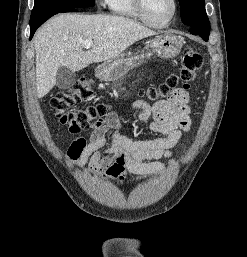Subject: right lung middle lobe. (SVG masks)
I'll return each mask as SVG.
<instances>
[{"label": "right lung middle lobe", "mask_w": 247, "mask_h": 257, "mask_svg": "<svg viewBox=\"0 0 247 257\" xmlns=\"http://www.w3.org/2000/svg\"><path fill=\"white\" fill-rule=\"evenodd\" d=\"M92 6L94 0H35L30 20L54 11Z\"/></svg>", "instance_id": "1"}]
</instances>
